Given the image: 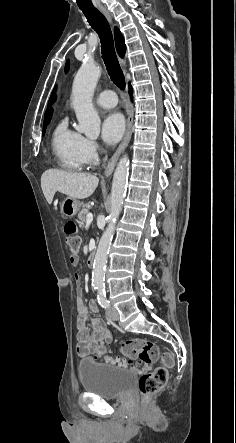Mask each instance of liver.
Masks as SVG:
<instances>
[{
    "mask_svg": "<svg viewBox=\"0 0 236 443\" xmlns=\"http://www.w3.org/2000/svg\"><path fill=\"white\" fill-rule=\"evenodd\" d=\"M99 179L89 173L65 172L49 169L41 176V188L51 204L56 192H61L74 199H85L93 194Z\"/></svg>",
    "mask_w": 236,
    "mask_h": 443,
    "instance_id": "liver-1",
    "label": "liver"
}]
</instances>
